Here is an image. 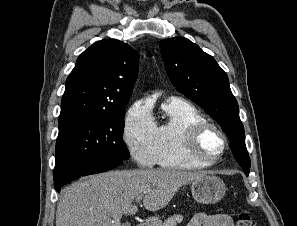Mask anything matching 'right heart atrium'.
<instances>
[{"instance_id": "right-heart-atrium-1", "label": "right heart atrium", "mask_w": 297, "mask_h": 226, "mask_svg": "<svg viewBox=\"0 0 297 226\" xmlns=\"http://www.w3.org/2000/svg\"><path fill=\"white\" fill-rule=\"evenodd\" d=\"M123 140L141 167H151L157 161V127L149 108L142 102L128 109L123 127Z\"/></svg>"}]
</instances>
